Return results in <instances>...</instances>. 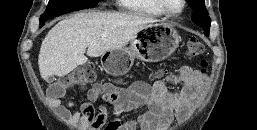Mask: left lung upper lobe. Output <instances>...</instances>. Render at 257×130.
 <instances>
[{
  "instance_id": "5c2ea615",
  "label": "left lung upper lobe",
  "mask_w": 257,
  "mask_h": 130,
  "mask_svg": "<svg viewBox=\"0 0 257 130\" xmlns=\"http://www.w3.org/2000/svg\"><path fill=\"white\" fill-rule=\"evenodd\" d=\"M191 8L194 10L192 21L198 26L203 27L205 35L209 34L211 19L205 8L204 0H188Z\"/></svg>"
}]
</instances>
